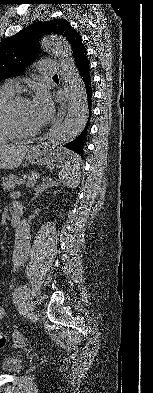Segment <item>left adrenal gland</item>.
<instances>
[{
  "instance_id": "left-adrenal-gland-1",
  "label": "left adrenal gland",
  "mask_w": 153,
  "mask_h": 393,
  "mask_svg": "<svg viewBox=\"0 0 153 393\" xmlns=\"http://www.w3.org/2000/svg\"><path fill=\"white\" fill-rule=\"evenodd\" d=\"M45 186H48V185L45 184V182H42V183H40L39 185H37L36 188H34V190H35V192H36L34 195H38L39 192L42 190V188H43V189L47 188V187H45Z\"/></svg>"
}]
</instances>
